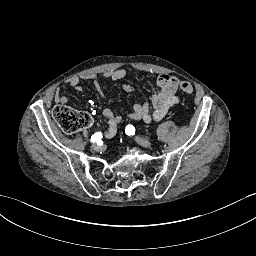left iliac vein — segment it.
Returning a JSON list of instances; mask_svg holds the SVG:
<instances>
[{"instance_id": "obj_1", "label": "left iliac vein", "mask_w": 256, "mask_h": 256, "mask_svg": "<svg viewBox=\"0 0 256 256\" xmlns=\"http://www.w3.org/2000/svg\"><path fill=\"white\" fill-rule=\"evenodd\" d=\"M135 140L139 145L146 147V148L151 147V145H152V143L146 138L136 136Z\"/></svg>"}]
</instances>
